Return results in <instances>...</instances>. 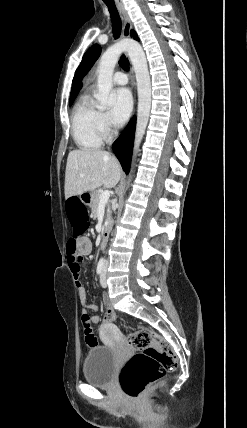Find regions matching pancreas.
Here are the masks:
<instances>
[{"label":"pancreas","instance_id":"pancreas-1","mask_svg":"<svg viewBox=\"0 0 247 428\" xmlns=\"http://www.w3.org/2000/svg\"><path fill=\"white\" fill-rule=\"evenodd\" d=\"M101 193H102V191H95V193H94V198H93V201H92V204H91L92 213L94 215L97 214V209H98V205L100 203V195H101ZM110 215H111V211H110V208H109V204H106V216H107L108 219L110 218Z\"/></svg>","mask_w":247,"mask_h":428}]
</instances>
